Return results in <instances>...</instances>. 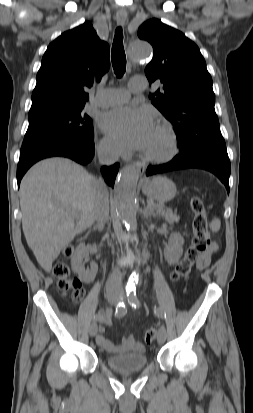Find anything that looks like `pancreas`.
<instances>
[{"label":"pancreas","mask_w":253,"mask_h":413,"mask_svg":"<svg viewBox=\"0 0 253 413\" xmlns=\"http://www.w3.org/2000/svg\"><path fill=\"white\" fill-rule=\"evenodd\" d=\"M155 209L157 213L161 215L167 222L173 224L174 222H179L180 217L175 215L173 211L169 208H166L163 204H156Z\"/></svg>","instance_id":"pancreas-1"}]
</instances>
